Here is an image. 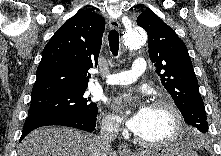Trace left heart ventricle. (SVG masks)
<instances>
[{"instance_id": "b2bd125f", "label": "left heart ventricle", "mask_w": 221, "mask_h": 156, "mask_svg": "<svg viewBox=\"0 0 221 156\" xmlns=\"http://www.w3.org/2000/svg\"><path fill=\"white\" fill-rule=\"evenodd\" d=\"M173 125V118L169 111L152 107L150 118L138 135L147 140L162 139L171 133Z\"/></svg>"}]
</instances>
